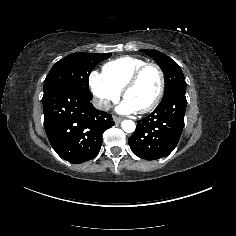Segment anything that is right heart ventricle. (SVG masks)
Segmentation results:
<instances>
[{
  "mask_svg": "<svg viewBox=\"0 0 236 236\" xmlns=\"http://www.w3.org/2000/svg\"><path fill=\"white\" fill-rule=\"evenodd\" d=\"M146 61L139 57L122 56L111 60L102 67V75L117 91L122 89L132 73Z\"/></svg>",
  "mask_w": 236,
  "mask_h": 236,
  "instance_id": "right-heart-ventricle-1",
  "label": "right heart ventricle"
}]
</instances>
